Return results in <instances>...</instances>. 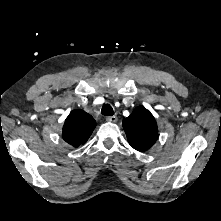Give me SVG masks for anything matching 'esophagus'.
Returning a JSON list of instances; mask_svg holds the SVG:
<instances>
[{
  "label": "esophagus",
  "mask_w": 221,
  "mask_h": 221,
  "mask_svg": "<svg viewBox=\"0 0 221 221\" xmlns=\"http://www.w3.org/2000/svg\"><path fill=\"white\" fill-rule=\"evenodd\" d=\"M106 120L108 121V122H117V117L116 116H108L107 118H106Z\"/></svg>",
  "instance_id": "1"
}]
</instances>
